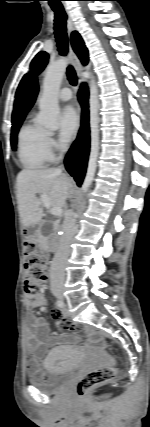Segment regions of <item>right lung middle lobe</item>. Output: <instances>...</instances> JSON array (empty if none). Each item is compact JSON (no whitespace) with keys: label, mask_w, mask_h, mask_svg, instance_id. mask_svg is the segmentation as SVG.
<instances>
[{"label":"right lung middle lobe","mask_w":150,"mask_h":427,"mask_svg":"<svg viewBox=\"0 0 150 427\" xmlns=\"http://www.w3.org/2000/svg\"><path fill=\"white\" fill-rule=\"evenodd\" d=\"M22 122H23V121H20V122H17V123L12 124V130H11V146H12L13 150H15V149H16L17 133H18V130H19V128H20V126H21Z\"/></svg>","instance_id":"1"}]
</instances>
